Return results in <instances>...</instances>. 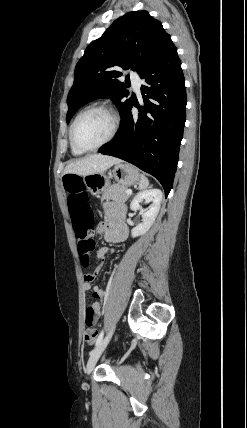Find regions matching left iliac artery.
I'll return each instance as SVG.
<instances>
[{"instance_id": "left-iliac-artery-1", "label": "left iliac artery", "mask_w": 247, "mask_h": 428, "mask_svg": "<svg viewBox=\"0 0 247 428\" xmlns=\"http://www.w3.org/2000/svg\"><path fill=\"white\" fill-rule=\"evenodd\" d=\"M103 335H104V331L102 330L101 333L99 334L97 340H96V346L102 341Z\"/></svg>"}]
</instances>
